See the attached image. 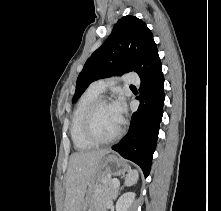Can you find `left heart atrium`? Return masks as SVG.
Here are the masks:
<instances>
[{
  "mask_svg": "<svg viewBox=\"0 0 221 211\" xmlns=\"http://www.w3.org/2000/svg\"><path fill=\"white\" fill-rule=\"evenodd\" d=\"M114 112L118 116V118L122 121L123 115L126 110L125 102L121 97H118L112 104H111Z\"/></svg>",
  "mask_w": 221,
  "mask_h": 211,
  "instance_id": "1",
  "label": "left heart atrium"
}]
</instances>
